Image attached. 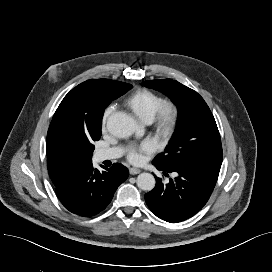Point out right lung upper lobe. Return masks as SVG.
Segmentation results:
<instances>
[{
	"label": "right lung upper lobe",
	"mask_w": 272,
	"mask_h": 272,
	"mask_svg": "<svg viewBox=\"0 0 272 272\" xmlns=\"http://www.w3.org/2000/svg\"><path fill=\"white\" fill-rule=\"evenodd\" d=\"M120 83L87 80L73 88L60 103L46 140L48 172L55 187L92 161L86 143L101 132L104 110Z\"/></svg>",
	"instance_id": "1"
}]
</instances>
